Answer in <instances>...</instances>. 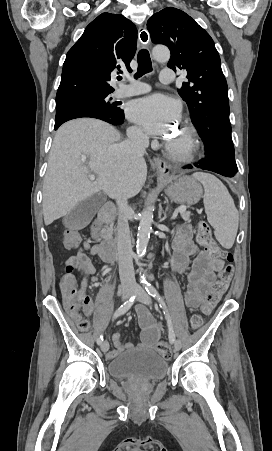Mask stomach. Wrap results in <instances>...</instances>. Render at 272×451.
<instances>
[{
    "mask_svg": "<svg viewBox=\"0 0 272 451\" xmlns=\"http://www.w3.org/2000/svg\"><path fill=\"white\" fill-rule=\"evenodd\" d=\"M172 180L173 184L167 186V190H165L172 202L193 206L202 198L203 188L194 178H190V176H181V178H175V176L162 178V176H158V182H172Z\"/></svg>",
    "mask_w": 272,
    "mask_h": 451,
    "instance_id": "0dacf381",
    "label": "stomach"
}]
</instances>
